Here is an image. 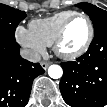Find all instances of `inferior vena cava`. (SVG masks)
Segmentation results:
<instances>
[{
    "mask_svg": "<svg viewBox=\"0 0 107 107\" xmlns=\"http://www.w3.org/2000/svg\"><path fill=\"white\" fill-rule=\"evenodd\" d=\"M20 55L22 58H24L30 62H33V63H37V62L41 61L40 54H38L37 52H34L32 50H29V49H21Z\"/></svg>",
    "mask_w": 107,
    "mask_h": 107,
    "instance_id": "inferior-vena-cava-1",
    "label": "inferior vena cava"
}]
</instances>
